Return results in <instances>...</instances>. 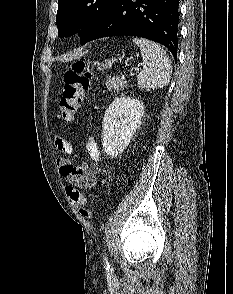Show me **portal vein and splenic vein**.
I'll use <instances>...</instances> for the list:
<instances>
[{
  "mask_svg": "<svg viewBox=\"0 0 233 294\" xmlns=\"http://www.w3.org/2000/svg\"><path fill=\"white\" fill-rule=\"evenodd\" d=\"M139 70H140L139 67H136V68L134 69L135 72H139ZM130 75H131V76H134V73H130ZM121 78L124 79L125 77L122 76Z\"/></svg>",
  "mask_w": 233,
  "mask_h": 294,
  "instance_id": "18ae733b",
  "label": "portal vein and splenic vein"
}]
</instances>
